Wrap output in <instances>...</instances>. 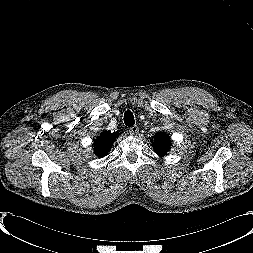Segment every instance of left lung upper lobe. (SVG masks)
<instances>
[{"instance_id": "1", "label": "left lung upper lobe", "mask_w": 253, "mask_h": 253, "mask_svg": "<svg viewBox=\"0 0 253 253\" xmlns=\"http://www.w3.org/2000/svg\"><path fill=\"white\" fill-rule=\"evenodd\" d=\"M152 142L154 151L161 157L165 156L170 149L171 140L165 132L155 134Z\"/></svg>"}]
</instances>
